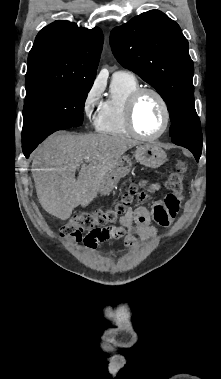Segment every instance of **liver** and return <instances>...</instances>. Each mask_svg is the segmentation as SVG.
<instances>
[{
	"instance_id": "obj_1",
	"label": "liver",
	"mask_w": 221,
	"mask_h": 379,
	"mask_svg": "<svg viewBox=\"0 0 221 379\" xmlns=\"http://www.w3.org/2000/svg\"><path fill=\"white\" fill-rule=\"evenodd\" d=\"M137 144L106 134L51 135L33 153L32 175L41 206L57 218L68 219L77 206L85 207L96 198L104 176Z\"/></svg>"
}]
</instances>
